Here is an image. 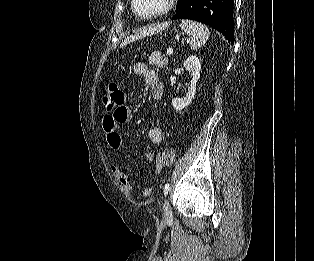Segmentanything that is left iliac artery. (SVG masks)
I'll list each match as a JSON object with an SVG mask.
<instances>
[{
	"label": "left iliac artery",
	"instance_id": "1",
	"mask_svg": "<svg viewBox=\"0 0 314 261\" xmlns=\"http://www.w3.org/2000/svg\"><path fill=\"white\" fill-rule=\"evenodd\" d=\"M168 191H169V183H167V184L164 186V195H165V196L168 194Z\"/></svg>",
	"mask_w": 314,
	"mask_h": 261
}]
</instances>
